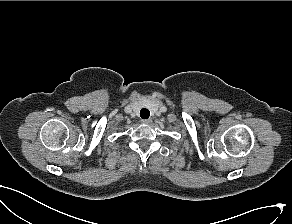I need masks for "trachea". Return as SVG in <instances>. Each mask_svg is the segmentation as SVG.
<instances>
[{"mask_svg": "<svg viewBox=\"0 0 292 224\" xmlns=\"http://www.w3.org/2000/svg\"><path fill=\"white\" fill-rule=\"evenodd\" d=\"M140 116H141V118H143V119H147V118H149V116H150V111H149L148 109H146V108H143V109L140 111Z\"/></svg>", "mask_w": 292, "mask_h": 224, "instance_id": "obj_1", "label": "trachea"}]
</instances>
